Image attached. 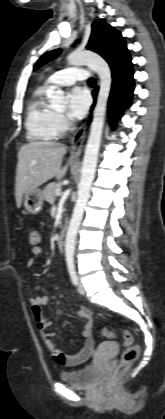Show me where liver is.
Instances as JSON below:
<instances>
[{"label":"liver","instance_id":"6515ba94","mask_svg":"<svg viewBox=\"0 0 165 419\" xmlns=\"http://www.w3.org/2000/svg\"><path fill=\"white\" fill-rule=\"evenodd\" d=\"M66 147L56 142L37 141L23 145L18 153L15 196L20 208L23 196L52 178L65 176L67 163L61 167Z\"/></svg>","mask_w":165,"mask_h":419}]
</instances>
